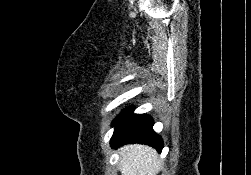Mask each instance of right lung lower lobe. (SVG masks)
Returning a JSON list of instances; mask_svg holds the SVG:
<instances>
[{
    "label": "right lung lower lobe",
    "instance_id": "98d812e1",
    "mask_svg": "<svg viewBox=\"0 0 251 175\" xmlns=\"http://www.w3.org/2000/svg\"><path fill=\"white\" fill-rule=\"evenodd\" d=\"M134 108L125 109L114 121L115 130L111 147L117 148L125 143L147 144L161 152L162 138L153 130V119L147 114H134Z\"/></svg>",
    "mask_w": 251,
    "mask_h": 175
}]
</instances>
